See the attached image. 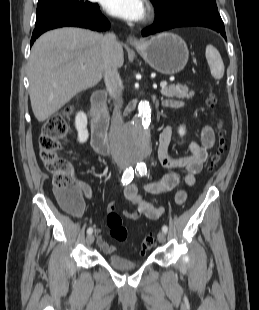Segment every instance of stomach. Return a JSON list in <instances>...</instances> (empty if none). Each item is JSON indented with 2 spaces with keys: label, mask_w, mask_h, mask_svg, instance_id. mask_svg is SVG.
<instances>
[{
  "label": "stomach",
  "mask_w": 259,
  "mask_h": 310,
  "mask_svg": "<svg viewBox=\"0 0 259 310\" xmlns=\"http://www.w3.org/2000/svg\"><path fill=\"white\" fill-rule=\"evenodd\" d=\"M136 49L154 70L166 75L181 72L189 58L184 40L172 33H161L140 43Z\"/></svg>",
  "instance_id": "1"
}]
</instances>
